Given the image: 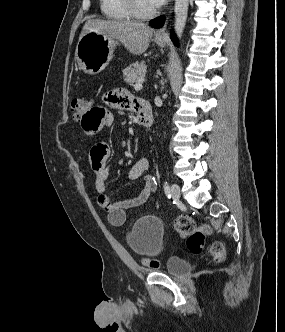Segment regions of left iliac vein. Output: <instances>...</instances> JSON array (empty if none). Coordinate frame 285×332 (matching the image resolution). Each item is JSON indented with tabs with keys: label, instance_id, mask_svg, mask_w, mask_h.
<instances>
[{
	"label": "left iliac vein",
	"instance_id": "left-iliac-vein-1",
	"mask_svg": "<svg viewBox=\"0 0 285 332\" xmlns=\"http://www.w3.org/2000/svg\"><path fill=\"white\" fill-rule=\"evenodd\" d=\"M171 195L172 198L176 201L180 199L181 195L180 187L175 183L171 185Z\"/></svg>",
	"mask_w": 285,
	"mask_h": 332
}]
</instances>
